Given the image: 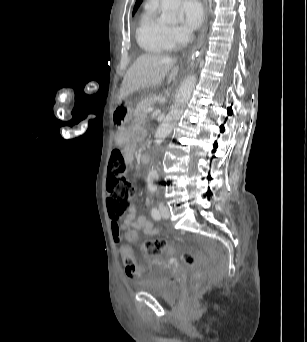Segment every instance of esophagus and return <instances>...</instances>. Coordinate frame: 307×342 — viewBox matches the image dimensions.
<instances>
[{
	"label": "esophagus",
	"mask_w": 307,
	"mask_h": 342,
	"mask_svg": "<svg viewBox=\"0 0 307 342\" xmlns=\"http://www.w3.org/2000/svg\"><path fill=\"white\" fill-rule=\"evenodd\" d=\"M204 3V22L202 26V32L200 33L197 45L192 48L191 53H194L197 49L205 46V33L207 29V20H208V0H203Z\"/></svg>",
	"instance_id": "34e87169"
}]
</instances>
